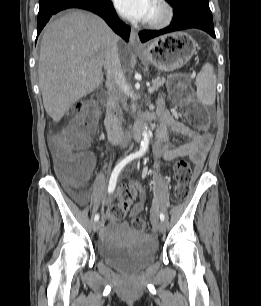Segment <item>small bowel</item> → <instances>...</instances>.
Masks as SVG:
<instances>
[{"mask_svg": "<svg viewBox=\"0 0 261 306\" xmlns=\"http://www.w3.org/2000/svg\"><path fill=\"white\" fill-rule=\"evenodd\" d=\"M159 127L156 135L155 156L158 159L171 161L180 157L189 158L195 165V169L199 172L206 160L212 144V135L209 133H201L186 124L177 120L174 115L164 109V101H159L158 108ZM170 132L187 137V141L180 145H174L170 141ZM89 158L90 171L95 164V157L91 153L86 154ZM135 188L140 192L143 190L140 183H135ZM73 196L80 202H85L88 194L84 192H74ZM114 196H107L103 199L106 206L111 205ZM144 208L143 200H139L132 208L131 214L137 215ZM114 228L110 225L108 230L104 232L107 236L108 232Z\"/></svg>", "mask_w": 261, "mask_h": 306, "instance_id": "c3829d8e", "label": "small bowel"}]
</instances>
